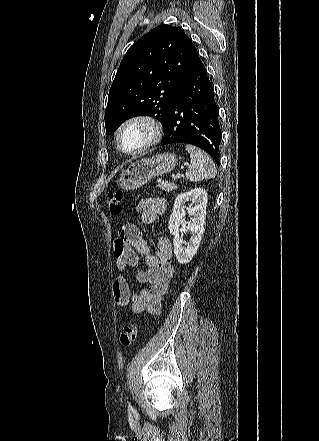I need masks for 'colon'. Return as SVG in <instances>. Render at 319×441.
I'll use <instances>...</instances> for the list:
<instances>
[{"label": "colon", "instance_id": "1", "mask_svg": "<svg viewBox=\"0 0 319 441\" xmlns=\"http://www.w3.org/2000/svg\"><path fill=\"white\" fill-rule=\"evenodd\" d=\"M123 193L121 191H111L107 196V205L110 214L114 217L122 213ZM138 326L135 323L125 325L120 332V342L123 346L129 347L137 338Z\"/></svg>", "mask_w": 319, "mask_h": 441}]
</instances>
